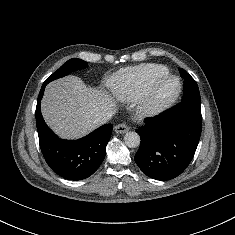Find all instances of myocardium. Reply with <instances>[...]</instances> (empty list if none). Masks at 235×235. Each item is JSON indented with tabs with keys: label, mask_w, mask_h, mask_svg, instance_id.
<instances>
[{
	"label": "myocardium",
	"mask_w": 235,
	"mask_h": 235,
	"mask_svg": "<svg viewBox=\"0 0 235 235\" xmlns=\"http://www.w3.org/2000/svg\"><path fill=\"white\" fill-rule=\"evenodd\" d=\"M174 81L176 83L175 91L167 98L159 99L156 97V90L164 82ZM182 91L180 79L171 74H165L155 78L148 86L144 94L138 99L139 110L146 115H153L169 108L179 98Z\"/></svg>",
	"instance_id": "obj_1"
}]
</instances>
